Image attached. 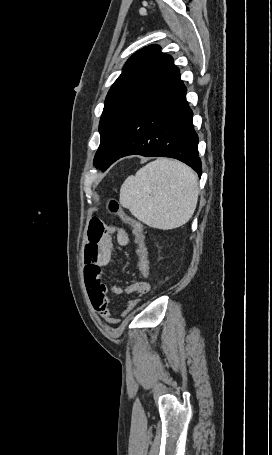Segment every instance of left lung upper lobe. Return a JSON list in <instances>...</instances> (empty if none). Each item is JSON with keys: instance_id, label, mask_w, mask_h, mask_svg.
I'll list each match as a JSON object with an SVG mask.
<instances>
[{"instance_id": "1", "label": "left lung upper lobe", "mask_w": 272, "mask_h": 455, "mask_svg": "<svg viewBox=\"0 0 272 455\" xmlns=\"http://www.w3.org/2000/svg\"><path fill=\"white\" fill-rule=\"evenodd\" d=\"M179 74L172 57L160 52L158 45L128 59L106 97L99 124L101 142L94 157L97 168L131 119Z\"/></svg>"}]
</instances>
